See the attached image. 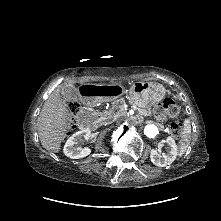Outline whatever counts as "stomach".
<instances>
[{
  "label": "stomach",
  "mask_w": 221,
  "mask_h": 221,
  "mask_svg": "<svg viewBox=\"0 0 221 221\" xmlns=\"http://www.w3.org/2000/svg\"><path fill=\"white\" fill-rule=\"evenodd\" d=\"M165 92L163 85L155 81H138L131 85L129 98L134 105L146 107L161 101Z\"/></svg>",
  "instance_id": "obj_1"
}]
</instances>
